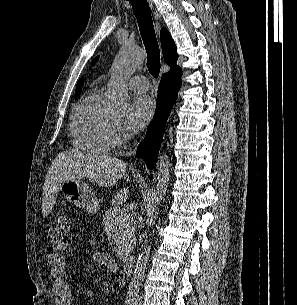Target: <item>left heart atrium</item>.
Listing matches in <instances>:
<instances>
[{
	"label": "left heart atrium",
	"instance_id": "obj_1",
	"mask_svg": "<svg viewBox=\"0 0 297 305\" xmlns=\"http://www.w3.org/2000/svg\"><path fill=\"white\" fill-rule=\"evenodd\" d=\"M154 103L148 96H137L132 99L129 106L125 127L132 133L142 130L153 117Z\"/></svg>",
	"mask_w": 297,
	"mask_h": 305
}]
</instances>
